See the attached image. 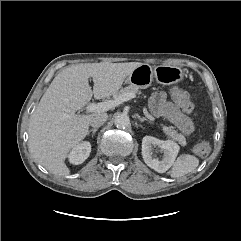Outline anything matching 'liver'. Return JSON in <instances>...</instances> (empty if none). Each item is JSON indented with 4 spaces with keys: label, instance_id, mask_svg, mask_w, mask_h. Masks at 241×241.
<instances>
[{
    "label": "liver",
    "instance_id": "1",
    "mask_svg": "<svg viewBox=\"0 0 241 241\" xmlns=\"http://www.w3.org/2000/svg\"><path fill=\"white\" fill-rule=\"evenodd\" d=\"M141 64L84 63L63 69L30 118L29 150L35 160L55 175H69L65 159L86 137L92 115L75 112L87 105L93 95L95 99H102L118 94L128 75ZM90 77L94 82L93 90L88 83Z\"/></svg>",
    "mask_w": 241,
    "mask_h": 241
}]
</instances>
